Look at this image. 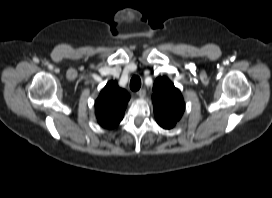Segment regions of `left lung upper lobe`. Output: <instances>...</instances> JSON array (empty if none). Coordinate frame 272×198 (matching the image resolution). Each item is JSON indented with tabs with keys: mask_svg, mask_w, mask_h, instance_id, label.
<instances>
[{
	"mask_svg": "<svg viewBox=\"0 0 272 198\" xmlns=\"http://www.w3.org/2000/svg\"><path fill=\"white\" fill-rule=\"evenodd\" d=\"M152 100L157 123L165 129L174 127L185 110L181 92L167 77H158L153 85Z\"/></svg>",
	"mask_w": 272,
	"mask_h": 198,
	"instance_id": "1",
	"label": "left lung upper lobe"
}]
</instances>
